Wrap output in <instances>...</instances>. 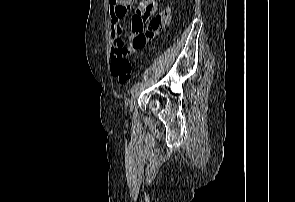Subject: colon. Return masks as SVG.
Returning <instances> with one entry per match:
<instances>
[{"mask_svg": "<svg viewBox=\"0 0 295 202\" xmlns=\"http://www.w3.org/2000/svg\"><path fill=\"white\" fill-rule=\"evenodd\" d=\"M128 53L126 48L117 50L111 62V73L122 85L127 84L132 75V66L127 58Z\"/></svg>", "mask_w": 295, "mask_h": 202, "instance_id": "1", "label": "colon"}]
</instances>
